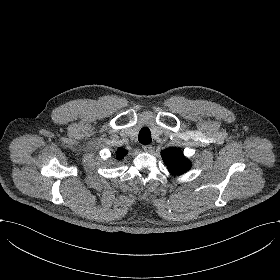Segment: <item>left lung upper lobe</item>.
Masks as SVG:
<instances>
[{
    "instance_id": "5c2ea615",
    "label": "left lung upper lobe",
    "mask_w": 280,
    "mask_h": 280,
    "mask_svg": "<svg viewBox=\"0 0 280 280\" xmlns=\"http://www.w3.org/2000/svg\"><path fill=\"white\" fill-rule=\"evenodd\" d=\"M161 155L172 174H182L191 168V162L184 157L179 148L165 149Z\"/></svg>"
}]
</instances>
